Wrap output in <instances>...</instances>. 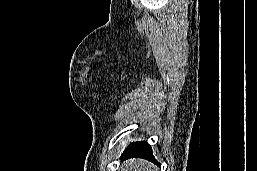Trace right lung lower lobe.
<instances>
[{"label": "right lung lower lobe", "mask_w": 257, "mask_h": 171, "mask_svg": "<svg viewBox=\"0 0 257 171\" xmlns=\"http://www.w3.org/2000/svg\"><path fill=\"white\" fill-rule=\"evenodd\" d=\"M122 157L125 159L132 157L145 158L160 166L152 154L150 145L146 141L131 143L123 152Z\"/></svg>", "instance_id": "right-lung-lower-lobe-1"}]
</instances>
